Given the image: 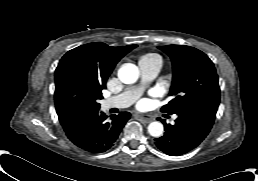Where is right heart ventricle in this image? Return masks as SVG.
Listing matches in <instances>:
<instances>
[{"label": "right heart ventricle", "instance_id": "1", "mask_svg": "<svg viewBox=\"0 0 258 181\" xmlns=\"http://www.w3.org/2000/svg\"><path fill=\"white\" fill-rule=\"evenodd\" d=\"M156 60H161V58L159 57V55L155 54V53H146L144 55H142L140 58H139V64H142V63H151L153 61H156Z\"/></svg>", "mask_w": 258, "mask_h": 181}]
</instances>
